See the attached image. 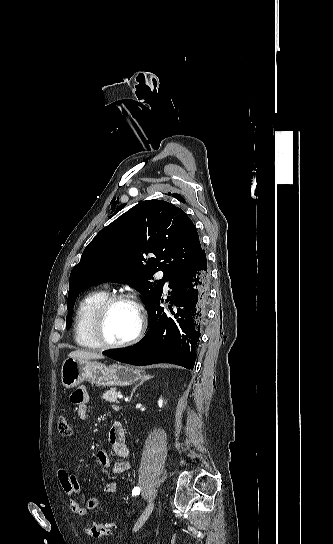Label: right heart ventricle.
Wrapping results in <instances>:
<instances>
[{"label": "right heart ventricle", "instance_id": "e07e8e85", "mask_svg": "<svg viewBox=\"0 0 333 544\" xmlns=\"http://www.w3.org/2000/svg\"><path fill=\"white\" fill-rule=\"evenodd\" d=\"M108 296L105 289H98L86 294L80 301L74 320L76 343L87 349L100 348L91 335V320L96 308Z\"/></svg>", "mask_w": 333, "mask_h": 544}]
</instances>
